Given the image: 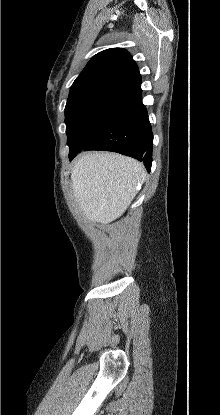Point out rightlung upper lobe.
<instances>
[{"label":"right lung upper lobe","mask_w":220,"mask_h":415,"mask_svg":"<svg viewBox=\"0 0 220 415\" xmlns=\"http://www.w3.org/2000/svg\"><path fill=\"white\" fill-rule=\"evenodd\" d=\"M102 78H115L141 89L139 69L131 55L122 48H111L96 54L73 85Z\"/></svg>","instance_id":"cb5924a9"}]
</instances>
